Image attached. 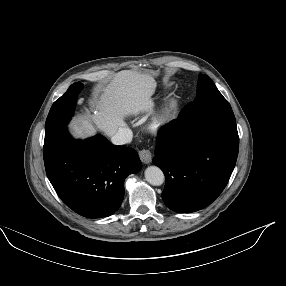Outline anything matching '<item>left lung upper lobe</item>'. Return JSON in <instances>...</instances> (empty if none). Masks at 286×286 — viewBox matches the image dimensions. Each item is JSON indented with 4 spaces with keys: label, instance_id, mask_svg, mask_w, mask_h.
I'll return each mask as SVG.
<instances>
[{
    "label": "left lung upper lobe",
    "instance_id": "left-lung-upper-lobe-1",
    "mask_svg": "<svg viewBox=\"0 0 286 286\" xmlns=\"http://www.w3.org/2000/svg\"><path fill=\"white\" fill-rule=\"evenodd\" d=\"M185 121L215 119L236 122L228 101L206 75H199L197 96L182 111Z\"/></svg>",
    "mask_w": 286,
    "mask_h": 286
}]
</instances>
